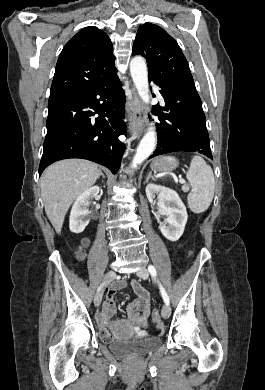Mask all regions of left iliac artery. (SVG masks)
<instances>
[{
  "label": "left iliac artery",
  "mask_w": 265,
  "mask_h": 390,
  "mask_svg": "<svg viewBox=\"0 0 265 390\" xmlns=\"http://www.w3.org/2000/svg\"><path fill=\"white\" fill-rule=\"evenodd\" d=\"M148 270H149L151 276L154 279H156L157 272H156L155 267L153 265H149L148 266ZM159 288H160V291H161V294H162V297L164 299L165 304L169 305V303H170L169 297H168L166 291L164 290V288L162 287V285L160 283H159Z\"/></svg>",
  "instance_id": "left-iliac-artery-1"
}]
</instances>
